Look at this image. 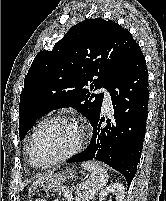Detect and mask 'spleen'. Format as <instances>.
I'll return each instance as SVG.
<instances>
[{
    "label": "spleen",
    "instance_id": "obj_1",
    "mask_svg": "<svg viewBox=\"0 0 166 201\" xmlns=\"http://www.w3.org/2000/svg\"><path fill=\"white\" fill-rule=\"evenodd\" d=\"M81 166L90 172V177L80 184L77 189L75 201H90L91 198L104 187L108 182L107 171L96 162H83Z\"/></svg>",
    "mask_w": 166,
    "mask_h": 201
}]
</instances>
